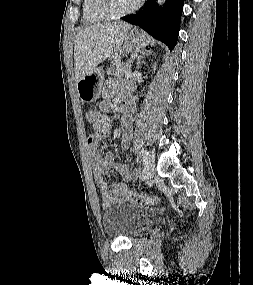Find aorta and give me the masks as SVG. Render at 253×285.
I'll return each instance as SVG.
<instances>
[{"mask_svg":"<svg viewBox=\"0 0 253 285\" xmlns=\"http://www.w3.org/2000/svg\"><path fill=\"white\" fill-rule=\"evenodd\" d=\"M165 2V0H157V4H158V6H161V5H163V3Z\"/></svg>","mask_w":253,"mask_h":285,"instance_id":"1","label":"aorta"}]
</instances>
